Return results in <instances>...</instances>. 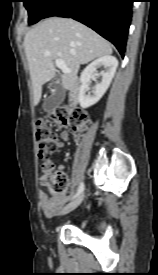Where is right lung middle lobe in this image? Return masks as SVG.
<instances>
[{
	"instance_id": "right-lung-middle-lobe-1",
	"label": "right lung middle lobe",
	"mask_w": 158,
	"mask_h": 275,
	"mask_svg": "<svg viewBox=\"0 0 158 275\" xmlns=\"http://www.w3.org/2000/svg\"><path fill=\"white\" fill-rule=\"evenodd\" d=\"M24 6L28 10L29 23L34 24L43 19L45 13L58 0H23Z\"/></svg>"
}]
</instances>
